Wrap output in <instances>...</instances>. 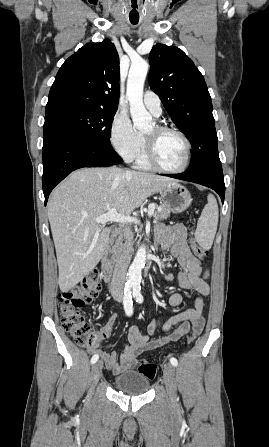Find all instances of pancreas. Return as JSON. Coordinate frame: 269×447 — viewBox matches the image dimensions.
<instances>
[{"mask_svg":"<svg viewBox=\"0 0 269 447\" xmlns=\"http://www.w3.org/2000/svg\"><path fill=\"white\" fill-rule=\"evenodd\" d=\"M156 208H158V206H156ZM162 210L161 212H158V210H155L153 216L155 218V220H165V218H169L170 216V212L169 210H167V208H165V206H161ZM139 237H142V235H139ZM123 243H120V251H123Z\"/></svg>","mask_w":269,"mask_h":447,"instance_id":"1","label":"pancreas"}]
</instances>
